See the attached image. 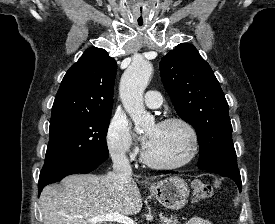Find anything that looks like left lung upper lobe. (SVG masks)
I'll list each match as a JSON object with an SVG mask.
<instances>
[{
    "label": "left lung upper lobe",
    "mask_w": 275,
    "mask_h": 224,
    "mask_svg": "<svg viewBox=\"0 0 275 224\" xmlns=\"http://www.w3.org/2000/svg\"><path fill=\"white\" fill-rule=\"evenodd\" d=\"M160 72L177 114L196 130L198 167L240 176L228 103L209 64L193 45L181 43L161 59Z\"/></svg>",
    "instance_id": "5c2ea615"
}]
</instances>
